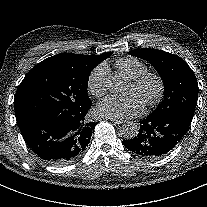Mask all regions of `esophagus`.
Segmentation results:
<instances>
[{
  "instance_id": "esophagus-1",
  "label": "esophagus",
  "mask_w": 207,
  "mask_h": 207,
  "mask_svg": "<svg viewBox=\"0 0 207 207\" xmlns=\"http://www.w3.org/2000/svg\"><path fill=\"white\" fill-rule=\"evenodd\" d=\"M108 119L112 122H115L117 127H122L124 125V120L122 118L108 117Z\"/></svg>"
}]
</instances>
